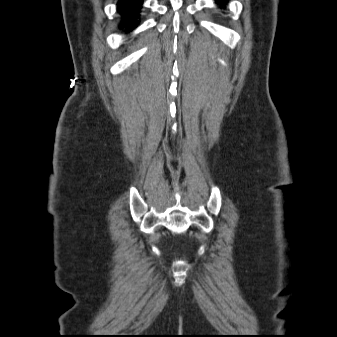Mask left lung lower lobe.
Here are the masks:
<instances>
[{
    "instance_id": "obj_1",
    "label": "left lung lower lobe",
    "mask_w": 337,
    "mask_h": 337,
    "mask_svg": "<svg viewBox=\"0 0 337 337\" xmlns=\"http://www.w3.org/2000/svg\"><path fill=\"white\" fill-rule=\"evenodd\" d=\"M228 0H216L217 4H219L221 7L226 5V2Z\"/></svg>"
}]
</instances>
